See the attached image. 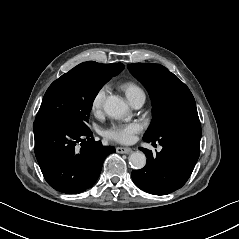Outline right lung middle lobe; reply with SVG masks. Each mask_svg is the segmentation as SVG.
I'll use <instances>...</instances> for the list:
<instances>
[{
	"label": "right lung middle lobe",
	"mask_w": 239,
	"mask_h": 239,
	"mask_svg": "<svg viewBox=\"0 0 239 239\" xmlns=\"http://www.w3.org/2000/svg\"><path fill=\"white\" fill-rule=\"evenodd\" d=\"M110 77L80 69H71L47 89L35 120L58 117L80 129L89 128L88 118L94 98Z\"/></svg>",
	"instance_id": "obj_1"
}]
</instances>
